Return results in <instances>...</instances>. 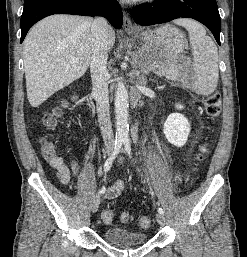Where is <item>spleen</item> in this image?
Listing matches in <instances>:
<instances>
[{"mask_svg":"<svg viewBox=\"0 0 247 257\" xmlns=\"http://www.w3.org/2000/svg\"><path fill=\"white\" fill-rule=\"evenodd\" d=\"M189 33L193 54L194 87L199 94L209 95L217 87L218 52L213 40L206 35L202 25L191 19L182 18L174 21Z\"/></svg>","mask_w":247,"mask_h":257,"instance_id":"spleen-1","label":"spleen"}]
</instances>
